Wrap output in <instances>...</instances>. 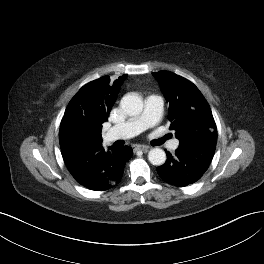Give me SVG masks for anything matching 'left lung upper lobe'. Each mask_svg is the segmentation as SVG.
Returning <instances> with one entry per match:
<instances>
[{"label":"left lung upper lobe","mask_w":264,"mask_h":264,"mask_svg":"<svg viewBox=\"0 0 264 264\" xmlns=\"http://www.w3.org/2000/svg\"><path fill=\"white\" fill-rule=\"evenodd\" d=\"M169 103L170 130L180 140L179 148L214 155L217 127L204 96L189 80L169 71L153 73Z\"/></svg>","instance_id":"5c2ea615"}]
</instances>
